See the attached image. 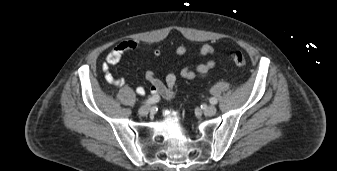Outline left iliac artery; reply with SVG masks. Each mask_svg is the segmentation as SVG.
Instances as JSON below:
<instances>
[{
  "instance_id": "obj_1",
  "label": "left iliac artery",
  "mask_w": 337,
  "mask_h": 171,
  "mask_svg": "<svg viewBox=\"0 0 337 171\" xmlns=\"http://www.w3.org/2000/svg\"><path fill=\"white\" fill-rule=\"evenodd\" d=\"M209 102H210L211 104H217V99L214 98V97H212V98H210Z\"/></svg>"
}]
</instances>
